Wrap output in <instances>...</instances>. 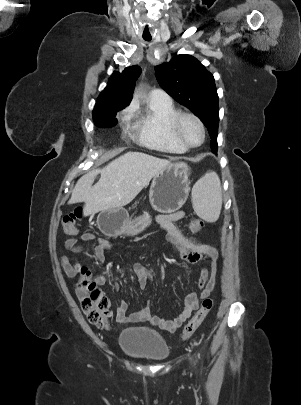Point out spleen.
I'll list each match as a JSON object with an SVG mask.
<instances>
[{
  "label": "spleen",
  "instance_id": "1",
  "mask_svg": "<svg viewBox=\"0 0 301 405\" xmlns=\"http://www.w3.org/2000/svg\"><path fill=\"white\" fill-rule=\"evenodd\" d=\"M192 200L196 213L208 222L219 218L222 207V194L219 177L215 172L208 173L194 185Z\"/></svg>",
  "mask_w": 301,
  "mask_h": 405
}]
</instances>
